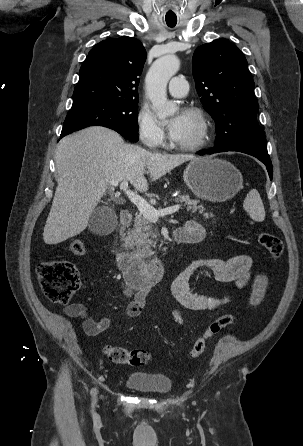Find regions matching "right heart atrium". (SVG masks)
Wrapping results in <instances>:
<instances>
[{
    "mask_svg": "<svg viewBox=\"0 0 303 446\" xmlns=\"http://www.w3.org/2000/svg\"><path fill=\"white\" fill-rule=\"evenodd\" d=\"M137 129L140 140L148 147H160L165 143V132L147 108L137 115Z\"/></svg>",
    "mask_w": 303,
    "mask_h": 446,
    "instance_id": "1",
    "label": "right heart atrium"
}]
</instances>
